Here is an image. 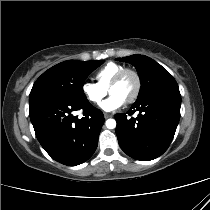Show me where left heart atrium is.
<instances>
[{"instance_id":"obj_1","label":"left heart atrium","mask_w":210,"mask_h":210,"mask_svg":"<svg viewBox=\"0 0 210 210\" xmlns=\"http://www.w3.org/2000/svg\"><path fill=\"white\" fill-rule=\"evenodd\" d=\"M125 101L116 94H111L107 99H105L100 107L106 112H112L120 109L124 105Z\"/></svg>"}]
</instances>
